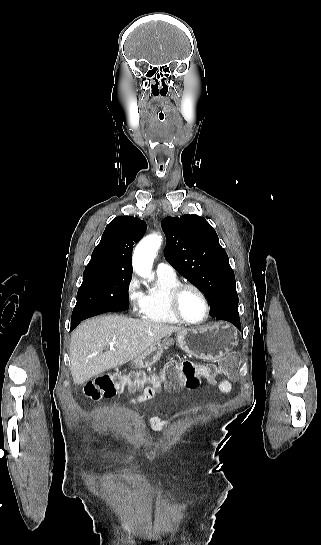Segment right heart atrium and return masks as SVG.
Returning a JSON list of instances; mask_svg holds the SVG:
<instances>
[{
	"instance_id": "1",
	"label": "right heart atrium",
	"mask_w": 321,
	"mask_h": 545,
	"mask_svg": "<svg viewBox=\"0 0 321 545\" xmlns=\"http://www.w3.org/2000/svg\"><path fill=\"white\" fill-rule=\"evenodd\" d=\"M125 296L134 314H139L144 301L145 294L142 291L138 279L131 275L125 286Z\"/></svg>"
}]
</instances>
